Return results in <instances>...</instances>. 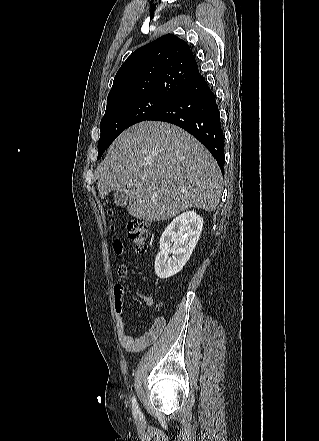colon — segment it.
Segmentation results:
<instances>
[{"mask_svg":"<svg viewBox=\"0 0 319 441\" xmlns=\"http://www.w3.org/2000/svg\"><path fill=\"white\" fill-rule=\"evenodd\" d=\"M128 237L133 243L138 253H144L147 250L148 239L150 236V226L148 223L139 220H132L128 226ZM122 243L116 239L114 247L120 246Z\"/></svg>","mask_w":319,"mask_h":441,"instance_id":"obj_1","label":"colon"}]
</instances>
